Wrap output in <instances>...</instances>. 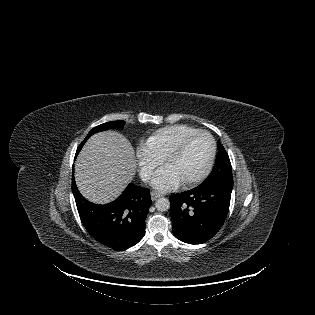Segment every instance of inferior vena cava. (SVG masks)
Here are the masks:
<instances>
[{"instance_id": "obj_1", "label": "inferior vena cava", "mask_w": 315, "mask_h": 315, "mask_svg": "<svg viewBox=\"0 0 315 315\" xmlns=\"http://www.w3.org/2000/svg\"><path fill=\"white\" fill-rule=\"evenodd\" d=\"M141 177H142V179H143L144 181H149L150 178H151V173H149V172H143V173L141 174Z\"/></svg>"}]
</instances>
